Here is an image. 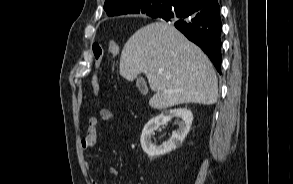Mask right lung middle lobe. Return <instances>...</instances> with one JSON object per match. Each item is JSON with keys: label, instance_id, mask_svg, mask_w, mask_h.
<instances>
[{"label": "right lung middle lobe", "instance_id": "right-lung-middle-lobe-1", "mask_svg": "<svg viewBox=\"0 0 293 184\" xmlns=\"http://www.w3.org/2000/svg\"><path fill=\"white\" fill-rule=\"evenodd\" d=\"M166 6H167L166 0L155 1L150 7V11L152 13H158V12H161Z\"/></svg>", "mask_w": 293, "mask_h": 184}]
</instances>
